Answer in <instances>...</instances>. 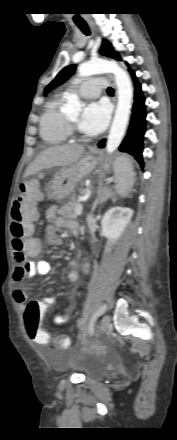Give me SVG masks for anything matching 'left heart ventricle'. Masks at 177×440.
Listing matches in <instances>:
<instances>
[{
    "mask_svg": "<svg viewBox=\"0 0 177 440\" xmlns=\"http://www.w3.org/2000/svg\"><path fill=\"white\" fill-rule=\"evenodd\" d=\"M68 118L70 120H72L73 122H75V123L78 121V115L77 114L69 115Z\"/></svg>",
    "mask_w": 177,
    "mask_h": 440,
    "instance_id": "obj_1",
    "label": "left heart ventricle"
}]
</instances>
